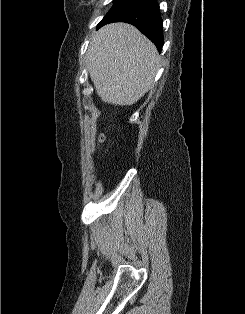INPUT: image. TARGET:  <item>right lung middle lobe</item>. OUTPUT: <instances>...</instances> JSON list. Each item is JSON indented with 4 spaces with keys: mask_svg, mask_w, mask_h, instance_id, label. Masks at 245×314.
<instances>
[{
    "mask_svg": "<svg viewBox=\"0 0 245 314\" xmlns=\"http://www.w3.org/2000/svg\"><path fill=\"white\" fill-rule=\"evenodd\" d=\"M127 1L129 0H115L114 1V5L112 6V8L110 9V11L105 15V17L103 18V20L109 15L111 14L114 10H116L117 8H119L120 6H122L123 4H125ZM102 20V21H103Z\"/></svg>",
    "mask_w": 245,
    "mask_h": 314,
    "instance_id": "obj_1",
    "label": "right lung middle lobe"
}]
</instances>
